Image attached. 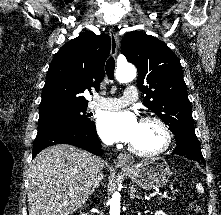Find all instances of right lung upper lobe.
Wrapping results in <instances>:
<instances>
[{"label":"right lung upper lobe","mask_w":221,"mask_h":215,"mask_svg":"<svg viewBox=\"0 0 221 215\" xmlns=\"http://www.w3.org/2000/svg\"><path fill=\"white\" fill-rule=\"evenodd\" d=\"M110 49V37L93 32H85L63 45L47 72L40 116L87 107L83 93L99 90Z\"/></svg>","instance_id":"cb5924a9"}]
</instances>
